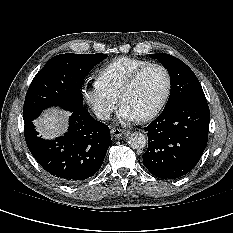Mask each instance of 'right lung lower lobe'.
<instances>
[{"mask_svg": "<svg viewBox=\"0 0 233 233\" xmlns=\"http://www.w3.org/2000/svg\"><path fill=\"white\" fill-rule=\"evenodd\" d=\"M68 132L54 141L37 137L33 122L24 123L27 146L38 163L64 183H78L101 167L112 144L110 130L84 108L69 110Z\"/></svg>", "mask_w": 233, "mask_h": 233, "instance_id": "98d812e1", "label": "right lung lower lobe"}]
</instances>
